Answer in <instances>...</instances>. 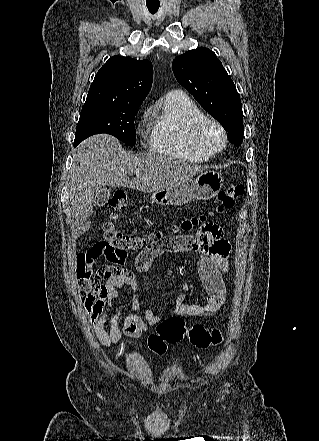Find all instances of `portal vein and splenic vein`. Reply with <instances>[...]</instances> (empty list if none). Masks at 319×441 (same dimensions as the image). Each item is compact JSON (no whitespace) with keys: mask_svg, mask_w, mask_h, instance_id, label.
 Here are the masks:
<instances>
[{"mask_svg":"<svg viewBox=\"0 0 319 441\" xmlns=\"http://www.w3.org/2000/svg\"><path fill=\"white\" fill-rule=\"evenodd\" d=\"M136 175H140L139 171H136Z\"/></svg>","mask_w":319,"mask_h":441,"instance_id":"portal-vein-and-splenic-vein-1","label":"portal vein and splenic vein"}]
</instances>
